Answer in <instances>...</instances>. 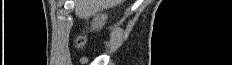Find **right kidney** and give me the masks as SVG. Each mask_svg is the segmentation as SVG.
<instances>
[{
    "label": "right kidney",
    "instance_id": "right-kidney-1",
    "mask_svg": "<svg viewBox=\"0 0 232 65\" xmlns=\"http://www.w3.org/2000/svg\"><path fill=\"white\" fill-rule=\"evenodd\" d=\"M107 18H108L107 14L96 15V17L92 21V26H91L92 30L98 31L102 29L106 23Z\"/></svg>",
    "mask_w": 232,
    "mask_h": 65
}]
</instances>
